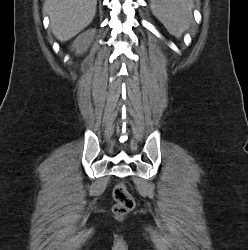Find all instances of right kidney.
<instances>
[{
  "label": "right kidney",
  "instance_id": "1",
  "mask_svg": "<svg viewBox=\"0 0 248 250\" xmlns=\"http://www.w3.org/2000/svg\"><path fill=\"white\" fill-rule=\"evenodd\" d=\"M94 36V31H88L79 35L73 42L71 49L76 52L77 55L83 54L87 51Z\"/></svg>",
  "mask_w": 248,
  "mask_h": 250
}]
</instances>
